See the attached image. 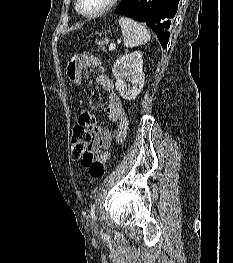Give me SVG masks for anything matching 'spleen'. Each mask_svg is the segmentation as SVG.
<instances>
[{
	"instance_id": "1",
	"label": "spleen",
	"mask_w": 233,
	"mask_h": 263,
	"mask_svg": "<svg viewBox=\"0 0 233 263\" xmlns=\"http://www.w3.org/2000/svg\"><path fill=\"white\" fill-rule=\"evenodd\" d=\"M119 25L126 48L136 47L150 41L151 35L142 24L127 17H120Z\"/></svg>"
}]
</instances>
